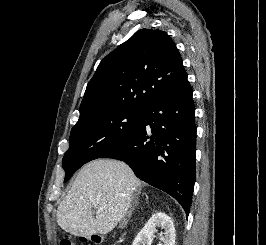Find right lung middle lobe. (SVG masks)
<instances>
[{"label":"right lung middle lobe","mask_w":266,"mask_h":245,"mask_svg":"<svg viewBox=\"0 0 266 245\" xmlns=\"http://www.w3.org/2000/svg\"><path fill=\"white\" fill-rule=\"evenodd\" d=\"M145 110L107 108L79 118L70 134L62 163L65 180L83 164L123 144L136 130Z\"/></svg>","instance_id":"1"}]
</instances>
